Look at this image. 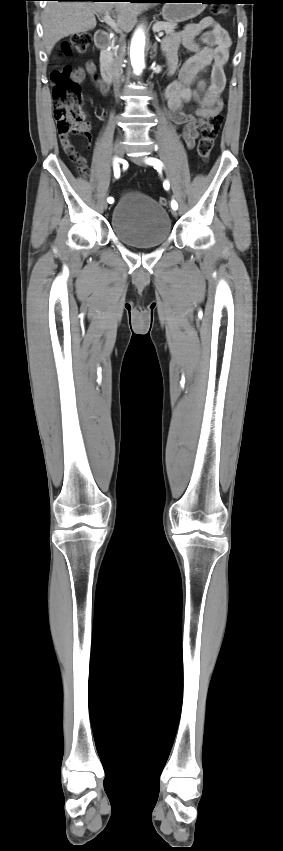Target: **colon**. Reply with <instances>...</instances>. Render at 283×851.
<instances>
[{
  "mask_svg": "<svg viewBox=\"0 0 283 851\" xmlns=\"http://www.w3.org/2000/svg\"><path fill=\"white\" fill-rule=\"evenodd\" d=\"M213 13L215 15H226L228 13V7L217 5L213 8ZM90 43L91 37L88 33L80 32L73 34L62 44L60 54L61 56H69L73 52L83 54L89 48ZM51 81L53 96L55 98L53 116L56 121L59 137L69 138L70 134L88 136L89 122L82 109L83 98L80 86L73 79L71 67L65 66L53 70L51 72ZM222 106L218 107L217 111L208 118L201 129L197 153L203 160L209 158L215 140L222 128L224 122ZM74 163L79 174L84 175L86 173V167L81 159H74ZM159 203L165 206L168 200L165 197H160Z\"/></svg>",
  "mask_w": 283,
  "mask_h": 851,
  "instance_id": "1",
  "label": "colon"
}]
</instances>
